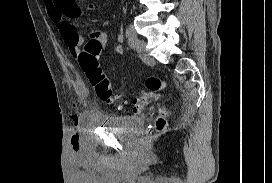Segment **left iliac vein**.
Segmentation results:
<instances>
[{
  "instance_id": "obj_1",
  "label": "left iliac vein",
  "mask_w": 272,
  "mask_h": 183,
  "mask_svg": "<svg viewBox=\"0 0 272 183\" xmlns=\"http://www.w3.org/2000/svg\"><path fill=\"white\" fill-rule=\"evenodd\" d=\"M136 51L141 58V60L145 63H151L153 61V58L149 55V53L146 50V42L142 39H138L136 41Z\"/></svg>"
}]
</instances>
